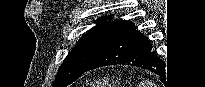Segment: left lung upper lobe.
<instances>
[{
	"instance_id": "left-lung-upper-lobe-1",
	"label": "left lung upper lobe",
	"mask_w": 205,
	"mask_h": 87,
	"mask_svg": "<svg viewBox=\"0 0 205 87\" xmlns=\"http://www.w3.org/2000/svg\"><path fill=\"white\" fill-rule=\"evenodd\" d=\"M111 16L99 18L96 26L80 38L59 68L53 87H66L90 66L101 48L122 21L107 22Z\"/></svg>"
}]
</instances>
